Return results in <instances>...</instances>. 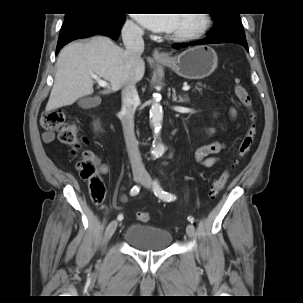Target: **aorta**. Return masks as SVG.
Here are the masks:
<instances>
[{
    "label": "aorta",
    "instance_id": "obj_1",
    "mask_svg": "<svg viewBox=\"0 0 303 303\" xmlns=\"http://www.w3.org/2000/svg\"><path fill=\"white\" fill-rule=\"evenodd\" d=\"M162 120H163L162 107L159 101L156 98H154L150 109V122L152 127L155 129V135H158L161 129ZM165 150L166 149L162 143L156 142L153 145L152 156L154 158H158L164 154Z\"/></svg>",
    "mask_w": 303,
    "mask_h": 303
}]
</instances>
